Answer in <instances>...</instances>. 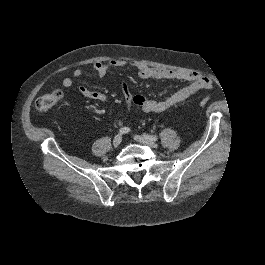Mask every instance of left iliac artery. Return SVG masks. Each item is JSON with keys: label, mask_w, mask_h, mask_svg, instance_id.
Wrapping results in <instances>:
<instances>
[{"label": "left iliac artery", "mask_w": 265, "mask_h": 265, "mask_svg": "<svg viewBox=\"0 0 265 265\" xmlns=\"http://www.w3.org/2000/svg\"><path fill=\"white\" fill-rule=\"evenodd\" d=\"M144 136L150 137L154 141H157L158 140V137L157 136H154V135H148V134L146 135V134H144Z\"/></svg>", "instance_id": "left-iliac-artery-1"}]
</instances>
